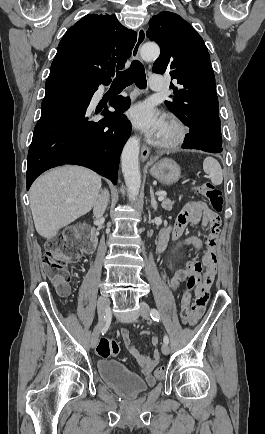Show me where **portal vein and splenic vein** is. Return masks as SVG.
I'll list each match as a JSON object with an SVG mask.
<instances>
[{"label": "portal vein and splenic vein", "mask_w": 265, "mask_h": 434, "mask_svg": "<svg viewBox=\"0 0 265 434\" xmlns=\"http://www.w3.org/2000/svg\"><path fill=\"white\" fill-rule=\"evenodd\" d=\"M158 200L159 202H162V200H164V196H159Z\"/></svg>", "instance_id": "portal-vein-and-splenic-vein-1"}]
</instances>
